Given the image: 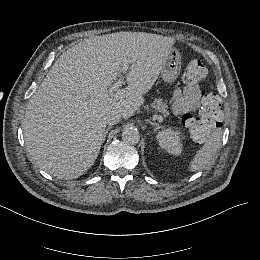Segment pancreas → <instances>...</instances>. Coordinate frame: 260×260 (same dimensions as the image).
<instances>
[{"label": "pancreas", "instance_id": "1", "mask_svg": "<svg viewBox=\"0 0 260 260\" xmlns=\"http://www.w3.org/2000/svg\"><path fill=\"white\" fill-rule=\"evenodd\" d=\"M167 104V101H162L161 99H155L153 103L154 108L163 115L164 119L170 114Z\"/></svg>", "mask_w": 260, "mask_h": 260}]
</instances>
